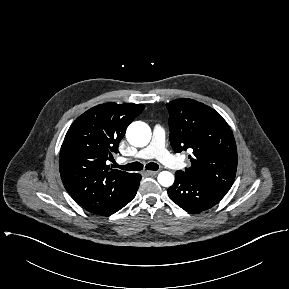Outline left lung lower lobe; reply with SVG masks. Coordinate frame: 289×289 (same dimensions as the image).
<instances>
[{"label":"left lung lower lobe","instance_id":"left-lung-lower-lobe-1","mask_svg":"<svg viewBox=\"0 0 289 289\" xmlns=\"http://www.w3.org/2000/svg\"><path fill=\"white\" fill-rule=\"evenodd\" d=\"M228 191L177 171L175 182L168 189V195L185 211L199 213L215 206Z\"/></svg>","mask_w":289,"mask_h":289}]
</instances>
